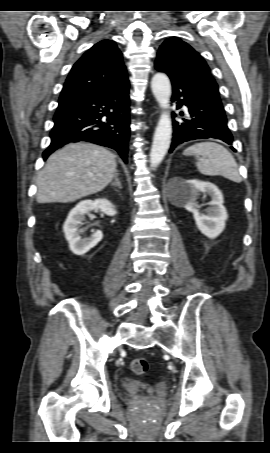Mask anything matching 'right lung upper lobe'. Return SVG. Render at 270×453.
<instances>
[{
  "mask_svg": "<svg viewBox=\"0 0 270 453\" xmlns=\"http://www.w3.org/2000/svg\"><path fill=\"white\" fill-rule=\"evenodd\" d=\"M127 78L122 54L116 43L102 40L74 64L59 101L103 93Z\"/></svg>",
  "mask_w": 270,
  "mask_h": 453,
  "instance_id": "1",
  "label": "right lung upper lobe"
}]
</instances>
